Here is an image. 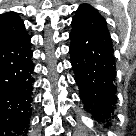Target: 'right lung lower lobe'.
I'll return each instance as SVG.
<instances>
[{
    "instance_id": "1",
    "label": "right lung lower lobe",
    "mask_w": 136,
    "mask_h": 136,
    "mask_svg": "<svg viewBox=\"0 0 136 136\" xmlns=\"http://www.w3.org/2000/svg\"><path fill=\"white\" fill-rule=\"evenodd\" d=\"M30 37L0 43V136H25L31 115Z\"/></svg>"
}]
</instances>
